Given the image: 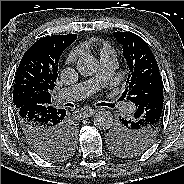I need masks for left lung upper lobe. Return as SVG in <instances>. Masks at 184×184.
Returning a JSON list of instances; mask_svg holds the SVG:
<instances>
[{"label":"left lung upper lobe","mask_w":184,"mask_h":184,"mask_svg":"<svg viewBox=\"0 0 184 184\" xmlns=\"http://www.w3.org/2000/svg\"><path fill=\"white\" fill-rule=\"evenodd\" d=\"M113 36L122 45L129 67L127 88L123 95H127L136 108L145 101H156L157 97L163 96L159 67L147 43L131 32H114ZM161 122L162 115L154 121L139 124L120 119L108 133L112 150L122 157L141 154L153 143Z\"/></svg>","instance_id":"1"}]
</instances>
